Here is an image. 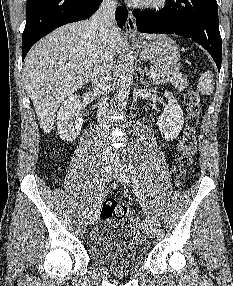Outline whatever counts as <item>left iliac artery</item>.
I'll return each instance as SVG.
<instances>
[{
  "mask_svg": "<svg viewBox=\"0 0 233 286\" xmlns=\"http://www.w3.org/2000/svg\"><path fill=\"white\" fill-rule=\"evenodd\" d=\"M128 169L130 170V174H131V178L133 181V187H134V191L136 193V196L138 197L139 202H140L144 212L146 214H148L147 207L145 205L144 198H143V193H142L141 188H140V183H139L138 177L136 175V171H135L133 165L131 164V161H128ZM147 216L149 218V215H147Z\"/></svg>",
  "mask_w": 233,
  "mask_h": 286,
  "instance_id": "left-iliac-artery-1",
  "label": "left iliac artery"
}]
</instances>
